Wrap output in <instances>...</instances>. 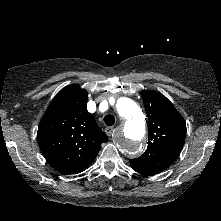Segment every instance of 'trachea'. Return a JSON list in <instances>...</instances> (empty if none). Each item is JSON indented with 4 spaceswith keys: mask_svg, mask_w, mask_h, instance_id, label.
I'll use <instances>...</instances> for the list:
<instances>
[{
    "mask_svg": "<svg viewBox=\"0 0 221 221\" xmlns=\"http://www.w3.org/2000/svg\"><path fill=\"white\" fill-rule=\"evenodd\" d=\"M103 120L107 126H112L115 123V118L113 115H106Z\"/></svg>",
    "mask_w": 221,
    "mask_h": 221,
    "instance_id": "1",
    "label": "trachea"
}]
</instances>
